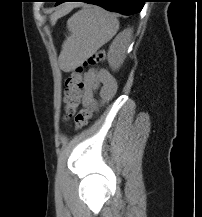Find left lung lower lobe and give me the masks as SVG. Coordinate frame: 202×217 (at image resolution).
<instances>
[{"label":"left lung lower lobe","instance_id":"1","mask_svg":"<svg viewBox=\"0 0 202 217\" xmlns=\"http://www.w3.org/2000/svg\"><path fill=\"white\" fill-rule=\"evenodd\" d=\"M56 6L67 1L86 2L101 6L109 11L118 12L124 15L139 13L145 0H54Z\"/></svg>","mask_w":202,"mask_h":217}]
</instances>
